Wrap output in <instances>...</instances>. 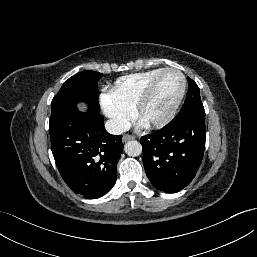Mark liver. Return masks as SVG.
I'll return each mask as SVG.
<instances>
[{
  "mask_svg": "<svg viewBox=\"0 0 257 257\" xmlns=\"http://www.w3.org/2000/svg\"><path fill=\"white\" fill-rule=\"evenodd\" d=\"M79 109H80V110H84V109H85V106H84V105H79Z\"/></svg>",
  "mask_w": 257,
  "mask_h": 257,
  "instance_id": "liver-1",
  "label": "liver"
}]
</instances>
